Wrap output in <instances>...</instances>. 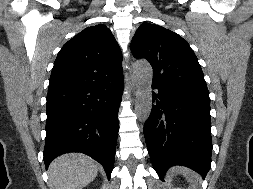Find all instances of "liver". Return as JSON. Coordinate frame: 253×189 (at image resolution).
Segmentation results:
<instances>
[{"mask_svg":"<svg viewBox=\"0 0 253 189\" xmlns=\"http://www.w3.org/2000/svg\"><path fill=\"white\" fill-rule=\"evenodd\" d=\"M98 163L80 153L57 157L49 167L50 189H82L98 174Z\"/></svg>","mask_w":253,"mask_h":189,"instance_id":"liver-1","label":"liver"}]
</instances>
